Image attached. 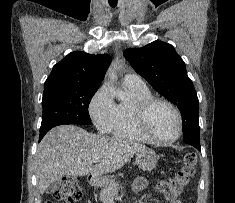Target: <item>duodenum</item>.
Segmentation results:
<instances>
[{"mask_svg":"<svg viewBox=\"0 0 235 203\" xmlns=\"http://www.w3.org/2000/svg\"><path fill=\"white\" fill-rule=\"evenodd\" d=\"M96 178L95 177H89V183L91 184V185H95L96 184Z\"/></svg>","mask_w":235,"mask_h":203,"instance_id":"obj_1","label":"duodenum"}]
</instances>
